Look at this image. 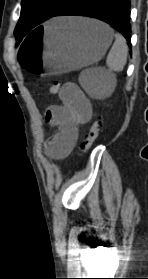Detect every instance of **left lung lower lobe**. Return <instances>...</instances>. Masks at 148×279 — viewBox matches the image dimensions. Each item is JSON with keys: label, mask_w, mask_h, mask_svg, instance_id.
I'll return each instance as SVG.
<instances>
[{"label": "left lung lower lobe", "mask_w": 148, "mask_h": 279, "mask_svg": "<svg viewBox=\"0 0 148 279\" xmlns=\"http://www.w3.org/2000/svg\"><path fill=\"white\" fill-rule=\"evenodd\" d=\"M77 15L97 18L118 30L131 47L130 0H68L52 17Z\"/></svg>", "instance_id": "left-lung-lower-lobe-1"}]
</instances>
